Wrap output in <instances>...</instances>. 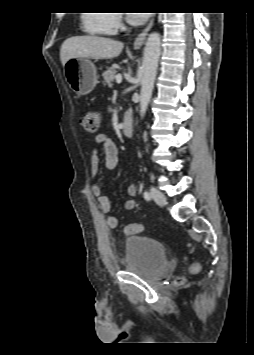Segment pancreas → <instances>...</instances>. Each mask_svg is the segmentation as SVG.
<instances>
[{
	"instance_id": "obj_1",
	"label": "pancreas",
	"mask_w": 254,
	"mask_h": 355,
	"mask_svg": "<svg viewBox=\"0 0 254 355\" xmlns=\"http://www.w3.org/2000/svg\"><path fill=\"white\" fill-rule=\"evenodd\" d=\"M117 70L115 67H111L105 71L102 76L104 78L103 84L104 85H112L115 77H116Z\"/></svg>"
}]
</instances>
